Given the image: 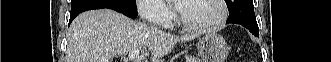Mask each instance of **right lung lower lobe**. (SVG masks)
<instances>
[{"label":"right lung lower lobe","mask_w":331,"mask_h":62,"mask_svg":"<svg viewBox=\"0 0 331 62\" xmlns=\"http://www.w3.org/2000/svg\"><path fill=\"white\" fill-rule=\"evenodd\" d=\"M100 8H107V7H100ZM100 8L94 7V8L81 9V10H78V11H75V12H71V14H70V20H69V25H70V23L73 21V19H74L77 15H79L80 13H82V12H84V11H87V10L100 9ZM109 9H113V10H115V11H118V12H120V13H122V14L128 16V17H130V18H133V16H131V15H129V14H127V13L121 11V10H118V9H115V8H109Z\"/></svg>","instance_id":"obj_1"}]
</instances>
